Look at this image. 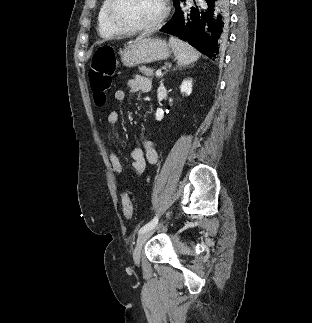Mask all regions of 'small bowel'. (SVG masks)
<instances>
[{
    "label": "small bowel",
    "instance_id": "1",
    "mask_svg": "<svg viewBox=\"0 0 312 323\" xmlns=\"http://www.w3.org/2000/svg\"><path fill=\"white\" fill-rule=\"evenodd\" d=\"M128 89L133 92H149L151 90V81L143 75H136L127 83ZM114 99L118 103H124L127 100V93L123 89L114 92ZM122 116L117 111H112L108 115L106 133L110 134L121 123ZM109 162L113 172L122 176L124 174L123 165L114 151L108 154ZM133 167L136 173L141 174L146 167V163L155 164L158 162L159 155L153 143L145 140L143 147H135L131 151Z\"/></svg>",
    "mask_w": 312,
    "mask_h": 323
}]
</instances>
